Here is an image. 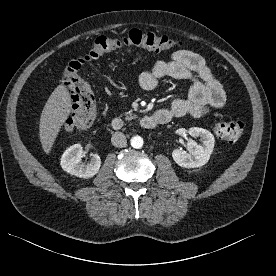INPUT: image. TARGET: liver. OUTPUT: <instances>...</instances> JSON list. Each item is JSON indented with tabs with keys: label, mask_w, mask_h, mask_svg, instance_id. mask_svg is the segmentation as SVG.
<instances>
[{
	"label": "liver",
	"mask_w": 276,
	"mask_h": 276,
	"mask_svg": "<svg viewBox=\"0 0 276 276\" xmlns=\"http://www.w3.org/2000/svg\"><path fill=\"white\" fill-rule=\"evenodd\" d=\"M71 105L67 87L58 85L48 98L40 118L39 136L46 154L50 153L61 127L69 116Z\"/></svg>",
	"instance_id": "1"
}]
</instances>
